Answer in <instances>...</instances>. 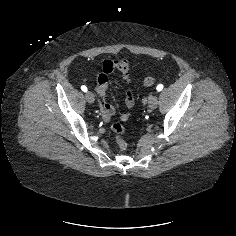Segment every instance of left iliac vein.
<instances>
[{"instance_id": "4c4485c4", "label": "left iliac vein", "mask_w": 236, "mask_h": 236, "mask_svg": "<svg viewBox=\"0 0 236 236\" xmlns=\"http://www.w3.org/2000/svg\"><path fill=\"white\" fill-rule=\"evenodd\" d=\"M148 106L150 109H156L158 106V97L156 95H153L149 98Z\"/></svg>"}]
</instances>
